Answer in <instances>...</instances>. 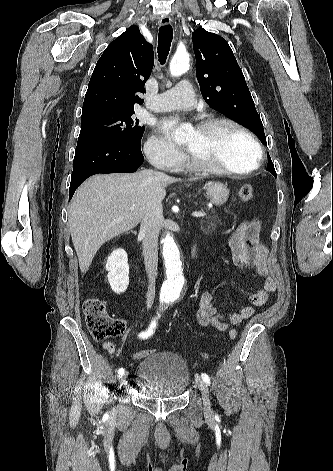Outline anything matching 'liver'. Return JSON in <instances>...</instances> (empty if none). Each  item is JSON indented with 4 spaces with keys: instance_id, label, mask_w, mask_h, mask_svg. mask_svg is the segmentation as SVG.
Listing matches in <instances>:
<instances>
[{
    "instance_id": "liver-1",
    "label": "liver",
    "mask_w": 333,
    "mask_h": 471,
    "mask_svg": "<svg viewBox=\"0 0 333 471\" xmlns=\"http://www.w3.org/2000/svg\"><path fill=\"white\" fill-rule=\"evenodd\" d=\"M177 181L152 170L98 174L85 181L69 207L70 233L81 272L89 269L105 242L135 228L146 207L161 203L165 187Z\"/></svg>"
}]
</instances>
